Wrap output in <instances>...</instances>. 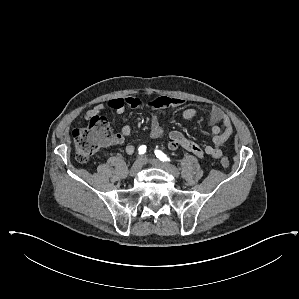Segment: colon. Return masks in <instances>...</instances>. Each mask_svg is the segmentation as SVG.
I'll list each match as a JSON object with an SVG mask.
<instances>
[{"mask_svg":"<svg viewBox=\"0 0 299 299\" xmlns=\"http://www.w3.org/2000/svg\"><path fill=\"white\" fill-rule=\"evenodd\" d=\"M72 137L76 159L79 162H86L99 149L113 143L115 135L111 132L107 119L96 115L89 119L85 127L75 129L72 132ZM220 163L225 168L230 165L227 157H222Z\"/></svg>","mask_w":299,"mask_h":299,"instance_id":"1","label":"colon"}]
</instances>
